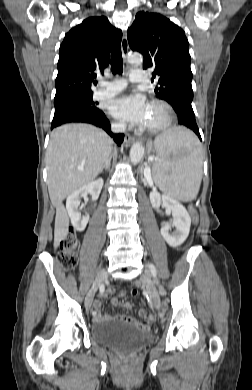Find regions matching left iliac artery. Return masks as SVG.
Returning a JSON list of instances; mask_svg holds the SVG:
<instances>
[{
    "mask_svg": "<svg viewBox=\"0 0 252 390\" xmlns=\"http://www.w3.org/2000/svg\"><path fill=\"white\" fill-rule=\"evenodd\" d=\"M149 268H150L151 273L153 274V276H156V269H155V267L152 264H150Z\"/></svg>",
    "mask_w": 252,
    "mask_h": 390,
    "instance_id": "obj_1",
    "label": "left iliac artery"
}]
</instances>
